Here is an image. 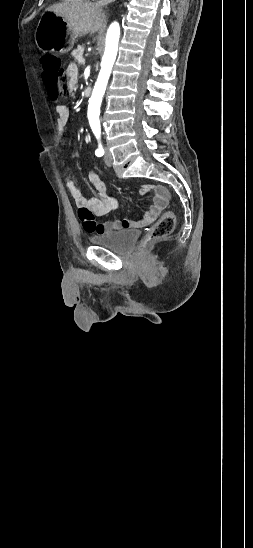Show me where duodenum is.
Masks as SVG:
<instances>
[{
    "label": "duodenum",
    "mask_w": 253,
    "mask_h": 548,
    "mask_svg": "<svg viewBox=\"0 0 253 548\" xmlns=\"http://www.w3.org/2000/svg\"><path fill=\"white\" fill-rule=\"evenodd\" d=\"M84 94H85L86 97L91 96V94H92V88H91V87H87V88L84 90Z\"/></svg>",
    "instance_id": "duodenum-1"
}]
</instances>
